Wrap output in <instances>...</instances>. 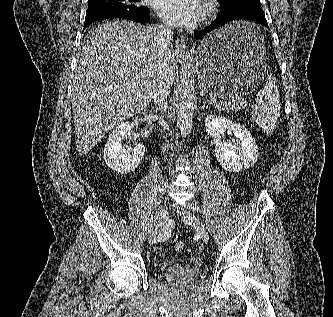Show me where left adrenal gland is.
<instances>
[{
  "mask_svg": "<svg viewBox=\"0 0 333 317\" xmlns=\"http://www.w3.org/2000/svg\"><path fill=\"white\" fill-rule=\"evenodd\" d=\"M202 103H203V105H202L201 109H205V108L208 109V106L206 105V101L203 100Z\"/></svg>",
  "mask_w": 333,
  "mask_h": 317,
  "instance_id": "obj_1",
  "label": "left adrenal gland"
}]
</instances>
